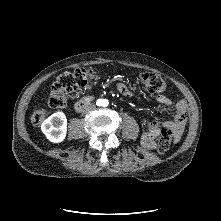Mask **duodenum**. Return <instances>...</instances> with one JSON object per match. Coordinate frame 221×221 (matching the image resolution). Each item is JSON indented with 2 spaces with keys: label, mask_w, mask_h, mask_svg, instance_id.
Instances as JSON below:
<instances>
[{
  "label": "duodenum",
  "mask_w": 221,
  "mask_h": 221,
  "mask_svg": "<svg viewBox=\"0 0 221 221\" xmlns=\"http://www.w3.org/2000/svg\"><path fill=\"white\" fill-rule=\"evenodd\" d=\"M94 99H95V95L84 96L83 98H81L79 101L76 102V104H75V111L76 112H81L89 104H91Z\"/></svg>",
  "instance_id": "obj_1"
}]
</instances>
